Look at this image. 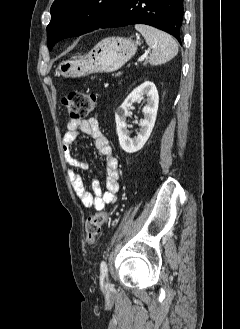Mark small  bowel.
Listing matches in <instances>:
<instances>
[{
    "label": "small bowel",
    "instance_id": "c3829d8e",
    "mask_svg": "<svg viewBox=\"0 0 240 329\" xmlns=\"http://www.w3.org/2000/svg\"><path fill=\"white\" fill-rule=\"evenodd\" d=\"M81 133L88 135L93 140L97 151L104 157L106 190H103L100 182L95 180L92 183V192H90L78 172V169L82 170L87 166L84 161H79L72 155V145ZM62 150L66 163L71 167L68 174L72 187L86 207L99 211L117 201V194L120 190L118 160L95 117L70 120L67 124V131L62 138Z\"/></svg>",
    "mask_w": 240,
    "mask_h": 329
}]
</instances>
